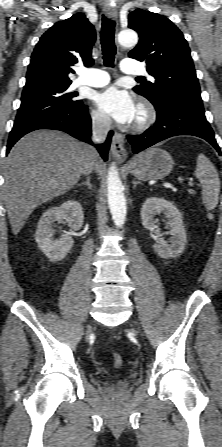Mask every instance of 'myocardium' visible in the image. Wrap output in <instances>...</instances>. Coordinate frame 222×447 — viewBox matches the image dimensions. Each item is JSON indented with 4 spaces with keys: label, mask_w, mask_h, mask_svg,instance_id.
I'll return each instance as SVG.
<instances>
[{
    "label": "myocardium",
    "mask_w": 222,
    "mask_h": 447,
    "mask_svg": "<svg viewBox=\"0 0 222 447\" xmlns=\"http://www.w3.org/2000/svg\"><path fill=\"white\" fill-rule=\"evenodd\" d=\"M156 119L154 107L148 102H142L138 106L137 116L134 122V129L142 131L147 129Z\"/></svg>",
    "instance_id": "obj_1"
}]
</instances>
